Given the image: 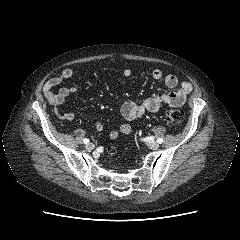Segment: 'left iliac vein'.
Returning a JSON list of instances; mask_svg holds the SVG:
<instances>
[{
  "label": "left iliac vein",
  "instance_id": "left-iliac-vein-1",
  "mask_svg": "<svg viewBox=\"0 0 240 240\" xmlns=\"http://www.w3.org/2000/svg\"><path fill=\"white\" fill-rule=\"evenodd\" d=\"M148 147L153 149V150H156L159 148V144L155 141H149L148 142Z\"/></svg>",
  "mask_w": 240,
  "mask_h": 240
}]
</instances>
